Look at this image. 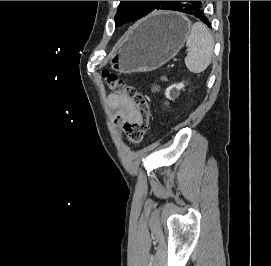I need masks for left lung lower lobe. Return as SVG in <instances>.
<instances>
[{
	"label": "left lung lower lobe",
	"mask_w": 271,
	"mask_h": 266,
	"mask_svg": "<svg viewBox=\"0 0 271 266\" xmlns=\"http://www.w3.org/2000/svg\"><path fill=\"white\" fill-rule=\"evenodd\" d=\"M168 10H175L193 15L210 27L209 20L204 14L201 1H175Z\"/></svg>",
	"instance_id": "1"
}]
</instances>
